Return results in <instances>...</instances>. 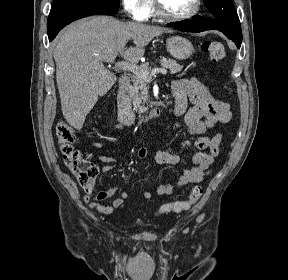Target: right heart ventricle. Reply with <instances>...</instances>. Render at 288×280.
<instances>
[{"label":"right heart ventricle","mask_w":288,"mask_h":280,"mask_svg":"<svg viewBox=\"0 0 288 280\" xmlns=\"http://www.w3.org/2000/svg\"><path fill=\"white\" fill-rule=\"evenodd\" d=\"M152 14H153V9L151 8V10H150V13H149L148 17H149V16H151Z\"/></svg>","instance_id":"obj_1"}]
</instances>
